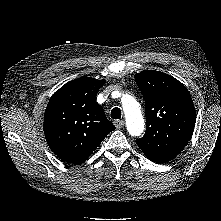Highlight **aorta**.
<instances>
[{"mask_svg":"<svg viewBox=\"0 0 221 221\" xmlns=\"http://www.w3.org/2000/svg\"><path fill=\"white\" fill-rule=\"evenodd\" d=\"M122 107L125 113L126 126L130 135L140 136L144 131V119L138 101L131 95H123Z\"/></svg>","mask_w":221,"mask_h":221,"instance_id":"762f6f07","label":"aorta"}]
</instances>
